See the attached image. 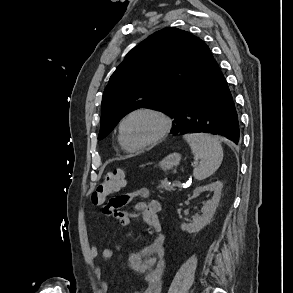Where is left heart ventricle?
I'll return each mask as SVG.
<instances>
[{
	"mask_svg": "<svg viewBox=\"0 0 293 293\" xmlns=\"http://www.w3.org/2000/svg\"><path fill=\"white\" fill-rule=\"evenodd\" d=\"M160 128L159 121L148 114L131 117L124 125V136L130 145L144 143L153 138Z\"/></svg>",
	"mask_w": 293,
	"mask_h": 293,
	"instance_id": "left-heart-ventricle-1",
	"label": "left heart ventricle"
}]
</instances>
